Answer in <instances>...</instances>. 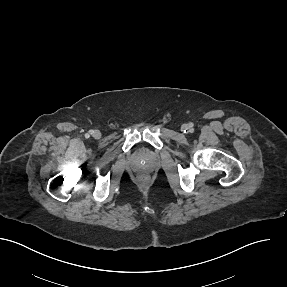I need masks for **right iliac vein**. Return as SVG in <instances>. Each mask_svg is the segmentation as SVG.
Returning a JSON list of instances; mask_svg holds the SVG:
<instances>
[{
  "instance_id": "1",
  "label": "right iliac vein",
  "mask_w": 287,
  "mask_h": 287,
  "mask_svg": "<svg viewBox=\"0 0 287 287\" xmlns=\"http://www.w3.org/2000/svg\"><path fill=\"white\" fill-rule=\"evenodd\" d=\"M93 137H94L95 139H99V138L101 137L100 131H98V130L94 131V132H93Z\"/></svg>"
}]
</instances>
